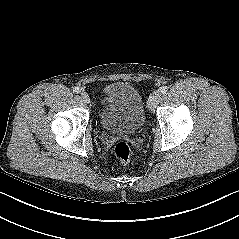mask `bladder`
<instances>
[{"mask_svg": "<svg viewBox=\"0 0 239 239\" xmlns=\"http://www.w3.org/2000/svg\"><path fill=\"white\" fill-rule=\"evenodd\" d=\"M100 123L110 132L132 134L144 123V105L139 91L126 82H112L103 90Z\"/></svg>", "mask_w": 239, "mask_h": 239, "instance_id": "31cf9c89", "label": "bladder"}]
</instances>
